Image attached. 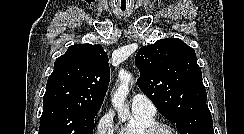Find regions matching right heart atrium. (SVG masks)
I'll return each mask as SVG.
<instances>
[{
    "label": "right heart atrium",
    "mask_w": 244,
    "mask_h": 134,
    "mask_svg": "<svg viewBox=\"0 0 244 134\" xmlns=\"http://www.w3.org/2000/svg\"><path fill=\"white\" fill-rule=\"evenodd\" d=\"M94 134H114L112 113L107 112L99 118L95 125Z\"/></svg>",
    "instance_id": "1"
}]
</instances>
